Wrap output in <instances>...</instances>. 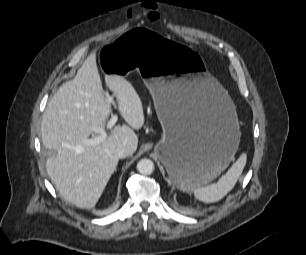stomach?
<instances>
[{
	"instance_id": "stomach-1",
	"label": "stomach",
	"mask_w": 306,
	"mask_h": 255,
	"mask_svg": "<svg viewBox=\"0 0 306 255\" xmlns=\"http://www.w3.org/2000/svg\"><path fill=\"white\" fill-rule=\"evenodd\" d=\"M100 59L106 74L142 76L163 129L155 153L178 189L190 193L225 170L240 141L236 108L195 50L137 26Z\"/></svg>"
}]
</instances>
